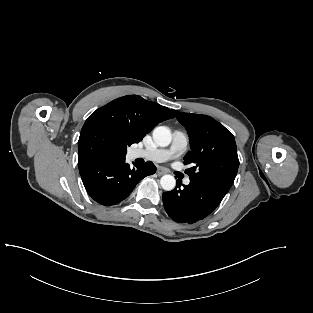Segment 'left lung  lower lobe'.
<instances>
[{"label": "left lung lower lobe", "instance_id": "0a47b994", "mask_svg": "<svg viewBox=\"0 0 313 313\" xmlns=\"http://www.w3.org/2000/svg\"><path fill=\"white\" fill-rule=\"evenodd\" d=\"M228 191L211 183L190 180L189 185L177 183L175 189L164 192L167 214L179 223H194L208 216Z\"/></svg>", "mask_w": 313, "mask_h": 313}]
</instances>
